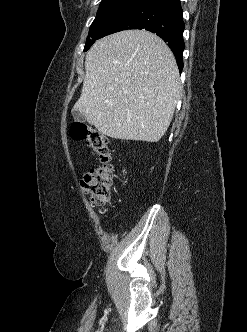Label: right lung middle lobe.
Masks as SVG:
<instances>
[{
    "label": "right lung middle lobe",
    "instance_id": "right-lung-middle-lobe-1",
    "mask_svg": "<svg viewBox=\"0 0 247 332\" xmlns=\"http://www.w3.org/2000/svg\"><path fill=\"white\" fill-rule=\"evenodd\" d=\"M147 1L148 0H102L96 18L90 26L84 52H86L97 39H100V35L110 24Z\"/></svg>",
    "mask_w": 247,
    "mask_h": 332
}]
</instances>
